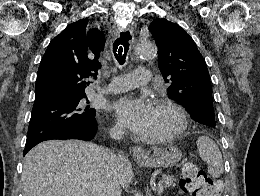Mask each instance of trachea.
<instances>
[{
    "label": "trachea",
    "instance_id": "trachea-1",
    "mask_svg": "<svg viewBox=\"0 0 260 196\" xmlns=\"http://www.w3.org/2000/svg\"><path fill=\"white\" fill-rule=\"evenodd\" d=\"M129 32H121L120 37L113 43V53L119 65H124L129 50Z\"/></svg>",
    "mask_w": 260,
    "mask_h": 196
}]
</instances>
